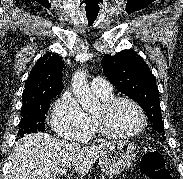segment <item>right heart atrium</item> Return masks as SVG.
Wrapping results in <instances>:
<instances>
[{
  "label": "right heart atrium",
  "instance_id": "d8ad5b80",
  "mask_svg": "<svg viewBox=\"0 0 183 179\" xmlns=\"http://www.w3.org/2000/svg\"><path fill=\"white\" fill-rule=\"evenodd\" d=\"M51 126L58 136L69 140L82 141L93 131L91 119L68 92L55 102L51 112Z\"/></svg>",
  "mask_w": 183,
  "mask_h": 179
}]
</instances>
